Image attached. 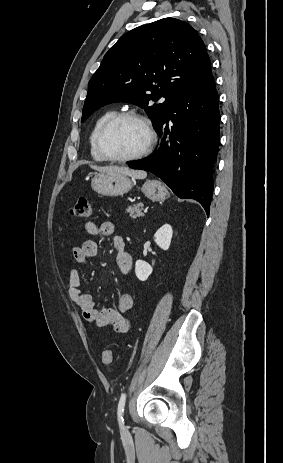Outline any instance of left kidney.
Masks as SVG:
<instances>
[{
	"label": "left kidney",
	"mask_w": 283,
	"mask_h": 463,
	"mask_svg": "<svg viewBox=\"0 0 283 463\" xmlns=\"http://www.w3.org/2000/svg\"><path fill=\"white\" fill-rule=\"evenodd\" d=\"M173 230L171 225L164 224L154 234V241L162 250H168ZM153 268L151 265L143 260H137L135 263V274L140 281H145L151 275Z\"/></svg>",
	"instance_id": "obj_1"
}]
</instances>
